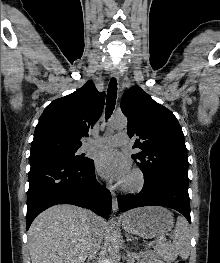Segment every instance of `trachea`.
<instances>
[{
	"label": "trachea",
	"mask_w": 220,
	"mask_h": 263,
	"mask_svg": "<svg viewBox=\"0 0 220 263\" xmlns=\"http://www.w3.org/2000/svg\"><path fill=\"white\" fill-rule=\"evenodd\" d=\"M117 97V81L115 78H112L108 90H107V98H106V120L110 118L113 113L115 103Z\"/></svg>",
	"instance_id": "3493384b"
}]
</instances>
